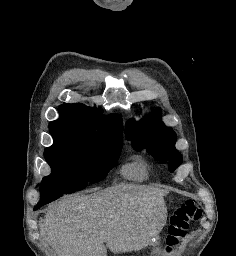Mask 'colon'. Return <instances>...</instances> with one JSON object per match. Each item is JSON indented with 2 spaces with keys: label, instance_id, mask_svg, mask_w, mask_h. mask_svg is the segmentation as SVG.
<instances>
[{
  "label": "colon",
  "instance_id": "colon-1",
  "mask_svg": "<svg viewBox=\"0 0 236 256\" xmlns=\"http://www.w3.org/2000/svg\"><path fill=\"white\" fill-rule=\"evenodd\" d=\"M202 217L198 203L192 199L184 201L170 216L166 246L168 255L181 246L187 235L191 221L197 222Z\"/></svg>",
  "mask_w": 236,
  "mask_h": 256
}]
</instances>
